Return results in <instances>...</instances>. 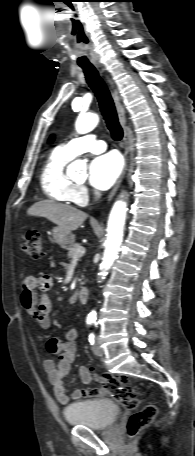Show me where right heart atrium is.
Listing matches in <instances>:
<instances>
[{"label": "right heart atrium", "instance_id": "d8ad5b80", "mask_svg": "<svg viewBox=\"0 0 195 456\" xmlns=\"http://www.w3.org/2000/svg\"><path fill=\"white\" fill-rule=\"evenodd\" d=\"M89 191L86 186L77 184L73 189V200L79 205H83L88 201Z\"/></svg>", "mask_w": 195, "mask_h": 456}]
</instances>
